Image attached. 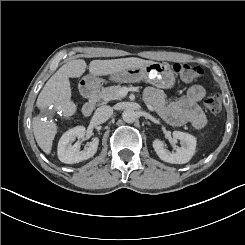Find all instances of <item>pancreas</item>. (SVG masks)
I'll return each mask as SVG.
<instances>
[{
    "label": "pancreas",
    "mask_w": 245,
    "mask_h": 245,
    "mask_svg": "<svg viewBox=\"0 0 245 245\" xmlns=\"http://www.w3.org/2000/svg\"><path fill=\"white\" fill-rule=\"evenodd\" d=\"M121 89L122 87L120 85L102 88L101 92H99L97 95L92 97L91 100L95 103L100 100H103L105 102H109L111 100H121L122 99V96L120 94Z\"/></svg>",
    "instance_id": "1"
}]
</instances>
